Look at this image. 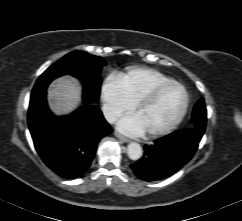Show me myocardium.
<instances>
[{
	"instance_id": "obj_1",
	"label": "myocardium",
	"mask_w": 242,
	"mask_h": 221,
	"mask_svg": "<svg viewBox=\"0 0 242 221\" xmlns=\"http://www.w3.org/2000/svg\"><path fill=\"white\" fill-rule=\"evenodd\" d=\"M172 86L179 87L184 93V102H183L182 108H181L179 114L175 117V119L171 123H169L167 126H165L164 128L155 130V131L145 132V135L147 137L154 138V137H160V136L166 135V134L170 133L172 130H174L180 124V122L185 117L188 107H189L188 91L181 83L172 80V81L162 83V84L155 86L134 105L133 112L136 113L137 111L141 110L142 108L150 105L163 90H165L169 87H172Z\"/></svg>"
}]
</instances>
